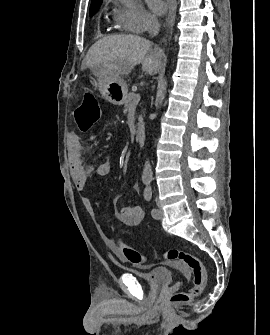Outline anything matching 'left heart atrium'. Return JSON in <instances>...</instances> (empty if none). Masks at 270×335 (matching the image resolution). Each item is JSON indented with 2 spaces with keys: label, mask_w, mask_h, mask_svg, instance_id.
<instances>
[{
  "label": "left heart atrium",
  "mask_w": 270,
  "mask_h": 335,
  "mask_svg": "<svg viewBox=\"0 0 270 335\" xmlns=\"http://www.w3.org/2000/svg\"><path fill=\"white\" fill-rule=\"evenodd\" d=\"M149 6L155 14L161 15L163 13V3L160 0H150Z\"/></svg>",
  "instance_id": "1"
}]
</instances>
